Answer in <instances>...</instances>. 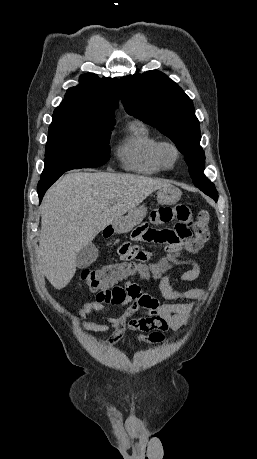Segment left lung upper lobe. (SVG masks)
Listing matches in <instances>:
<instances>
[{"label": "left lung upper lobe", "instance_id": "5c2ea615", "mask_svg": "<svg viewBox=\"0 0 257 459\" xmlns=\"http://www.w3.org/2000/svg\"><path fill=\"white\" fill-rule=\"evenodd\" d=\"M120 97L128 114L156 127L185 156L193 183L218 199L214 184L204 175L200 126L192 100L165 74L148 71L120 79Z\"/></svg>", "mask_w": 257, "mask_h": 459}]
</instances>
